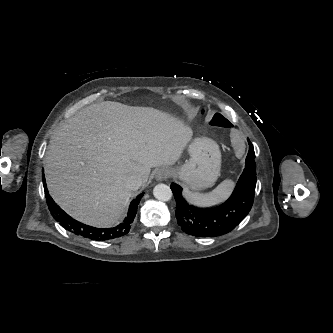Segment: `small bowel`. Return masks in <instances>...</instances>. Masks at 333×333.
<instances>
[{
    "label": "small bowel",
    "instance_id": "obj_1",
    "mask_svg": "<svg viewBox=\"0 0 333 333\" xmlns=\"http://www.w3.org/2000/svg\"><path fill=\"white\" fill-rule=\"evenodd\" d=\"M230 142L233 143L235 154L237 158H244L245 157V146L243 143V139L240 134L234 133L230 135Z\"/></svg>",
    "mask_w": 333,
    "mask_h": 333
}]
</instances>
